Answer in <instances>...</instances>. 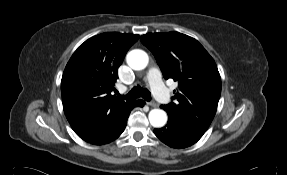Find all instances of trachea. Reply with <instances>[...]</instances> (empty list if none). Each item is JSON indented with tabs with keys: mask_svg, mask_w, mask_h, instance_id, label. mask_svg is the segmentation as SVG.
I'll return each instance as SVG.
<instances>
[{
	"mask_svg": "<svg viewBox=\"0 0 287 175\" xmlns=\"http://www.w3.org/2000/svg\"><path fill=\"white\" fill-rule=\"evenodd\" d=\"M127 98H139L142 97L146 101L151 100V93L146 88H141L140 86H135L132 88V90L125 95Z\"/></svg>",
	"mask_w": 287,
	"mask_h": 175,
	"instance_id": "1",
	"label": "trachea"
}]
</instances>
